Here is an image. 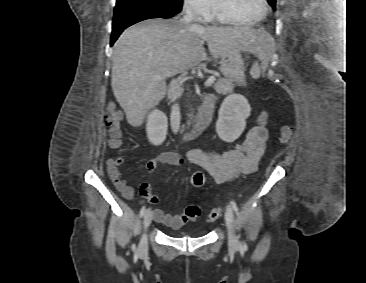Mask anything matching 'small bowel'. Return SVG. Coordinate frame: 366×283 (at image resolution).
<instances>
[{
  "instance_id": "1",
  "label": "small bowel",
  "mask_w": 366,
  "mask_h": 283,
  "mask_svg": "<svg viewBox=\"0 0 366 283\" xmlns=\"http://www.w3.org/2000/svg\"><path fill=\"white\" fill-rule=\"evenodd\" d=\"M267 113H259L256 124L248 131L245 140L235 148L224 152L204 151L201 149L190 150L185 157L175 152H162L146 163L148 173H152L158 164L179 166L188 162L204 169L217 183L233 180L240 174L253 173L266 149L268 130L266 128ZM123 159L111 158L107 161L108 174L117 190L126 199H132L135 190L123 178L120 166ZM138 192L141 197L151 203H159V198L151 194L147 182L140 184ZM152 218L172 229H179L185 219L180 215L167 214L162 209H154Z\"/></svg>"
}]
</instances>
